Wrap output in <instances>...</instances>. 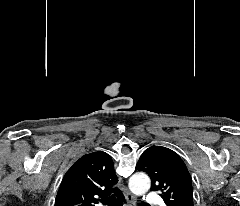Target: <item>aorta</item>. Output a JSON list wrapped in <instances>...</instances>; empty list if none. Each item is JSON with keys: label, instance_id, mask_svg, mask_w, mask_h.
I'll use <instances>...</instances> for the list:
<instances>
[{"label": "aorta", "instance_id": "762f6f07", "mask_svg": "<svg viewBox=\"0 0 240 206\" xmlns=\"http://www.w3.org/2000/svg\"><path fill=\"white\" fill-rule=\"evenodd\" d=\"M129 188L135 195H143L150 189V179L145 173H135L129 179Z\"/></svg>", "mask_w": 240, "mask_h": 206}]
</instances>
